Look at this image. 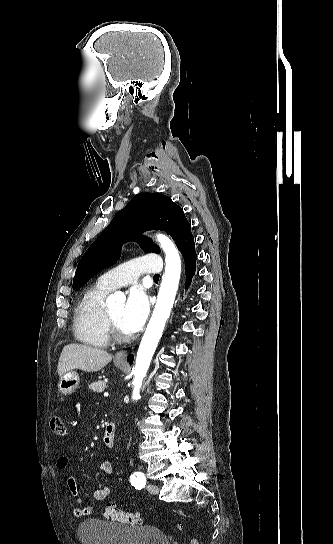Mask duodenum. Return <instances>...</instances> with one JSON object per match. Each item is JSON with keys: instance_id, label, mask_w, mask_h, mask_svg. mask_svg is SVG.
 <instances>
[{"instance_id": "obj_1", "label": "duodenum", "mask_w": 333, "mask_h": 544, "mask_svg": "<svg viewBox=\"0 0 333 544\" xmlns=\"http://www.w3.org/2000/svg\"><path fill=\"white\" fill-rule=\"evenodd\" d=\"M115 436H116V429L115 425L111 422H109L106 425L104 435H103V443L106 447H112L115 442Z\"/></svg>"}]
</instances>
